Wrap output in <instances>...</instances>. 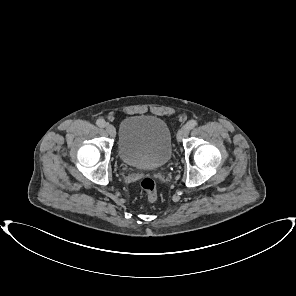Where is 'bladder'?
Instances as JSON below:
<instances>
[{
	"mask_svg": "<svg viewBox=\"0 0 296 296\" xmlns=\"http://www.w3.org/2000/svg\"><path fill=\"white\" fill-rule=\"evenodd\" d=\"M171 154V133L162 119L135 115L121 122L118 155L124 164L138 169H157L168 163Z\"/></svg>",
	"mask_w": 296,
	"mask_h": 296,
	"instance_id": "1",
	"label": "bladder"
}]
</instances>
